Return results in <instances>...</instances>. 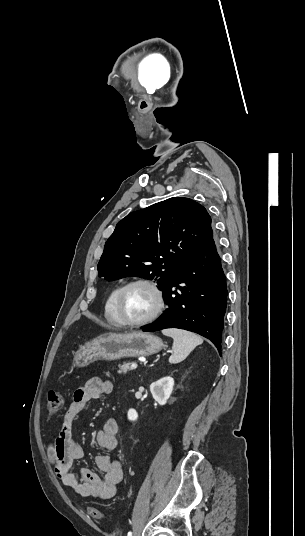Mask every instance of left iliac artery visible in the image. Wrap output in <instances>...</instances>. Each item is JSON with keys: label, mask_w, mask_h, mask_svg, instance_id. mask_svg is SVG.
I'll use <instances>...</instances> for the list:
<instances>
[{"label": "left iliac artery", "mask_w": 305, "mask_h": 536, "mask_svg": "<svg viewBox=\"0 0 305 536\" xmlns=\"http://www.w3.org/2000/svg\"><path fill=\"white\" fill-rule=\"evenodd\" d=\"M127 536H132V533L131 532H128V535Z\"/></svg>", "instance_id": "left-iliac-artery-1"}]
</instances>
